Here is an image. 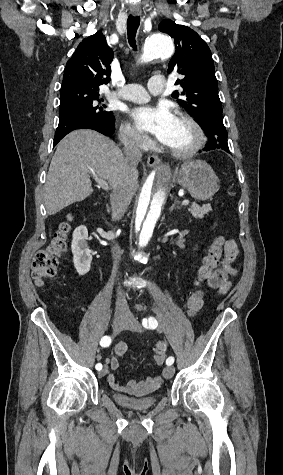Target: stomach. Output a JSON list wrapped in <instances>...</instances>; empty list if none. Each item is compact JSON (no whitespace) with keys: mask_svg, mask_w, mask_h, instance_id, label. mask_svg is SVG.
Masks as SVG:
<instances>
[{"mask_svg":"<svg viewBox=\"0 0 283 475\" xmlns=\"http://www.w3.org/2000/svg\"><path fill=\"white\" fill-rule=\"evenodd\" d=\"M158 172L164 176L166 168H159ZM172 178L196 200H209L219 190V180L204 160H185Z\"/></svg>","mask_w":283,"mask_h":475,"instance_id":"1","label":"stomach"}]
</instances>
